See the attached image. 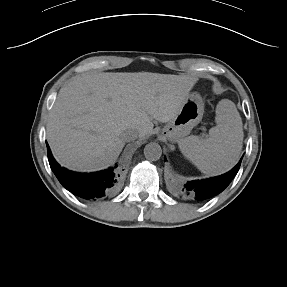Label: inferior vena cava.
I'll list each match as a JSON object with an SVG mask.
<instances>
[{"mask_svg":"<svg viewBox=\"0 0 287 287\" xmlns=\"http://www.w3.org/2000/svg\"><path fill=\"white\" fill-rule=\"evenodd\" d=\"M140 136H141V134L138 131L133 130V129H128V130H126L125 132L122 133V139L125 142L133 141V140L137 139Z\"/></svg>","mask_w":287,"mask_h":287,"instance_id":"1","label":"inferior vena cava"}]
</instances>
